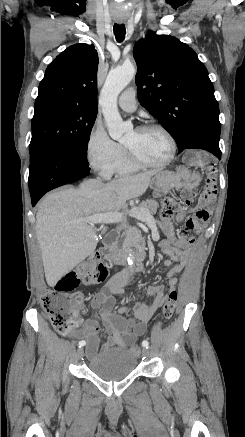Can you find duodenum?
I'll return each instance as SVG.
<instances>
[{
    "mask_svg": "<svg viewBox=\"0 0 245 437\" xmlns=\"http://www.w3.org/2000/svg\"><path fill=\"white\" fill-rule=\"evenodd\" d=\"M118 237L116 231L110 232L105 239V246L101 249L100 254L103 258L118 263H124L128 260L135 262L133 272L140 271L144 268V260L146 257V251L143 246L136 247L132 251L120 250L116 247L115 241ZM132 271H126L120 275L115 276L118 282H124L128 279Z\"/></svg>",
    "mask_w": 245,
    "mask_h": 437,
    "instance_id": "obj_1",
    "label": "duodenum"
}]
</instances>
